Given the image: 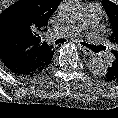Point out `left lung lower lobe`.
Masks as SVG:
<instances>
[{"label": "left lung lower lobe", "instance_id": "1", "mask_svg": "<svg viewBox=\"0 0 118 118\" xmlns=\"http://www.w3.org/2000/svg\"><path fill=\"white\" fill-rule=\"evenodd\" d=\"M101 78L107 82H118V74L108 67L106 72L100 75Z\"/></svg>", "mask_w": 118, "mask_h": 118}]
</instances>
